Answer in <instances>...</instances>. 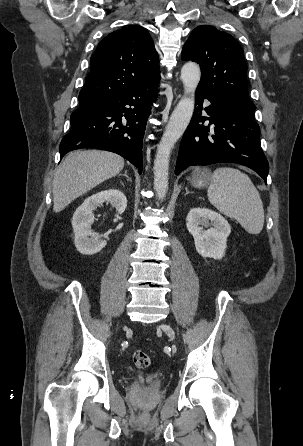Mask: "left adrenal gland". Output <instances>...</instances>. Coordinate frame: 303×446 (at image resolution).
Returning a JSON list of instances; mask_svg holds the SVG:
<instances>
[{
	"label": "left adrenal gland",
	"mask_w": 303,
	"mask_h": 446,
	"mask_svg": "<svg viewBox=\"0 0 303 446\" xmlns=\"http://www.w3.org/2000/svg\"><path fill=\"white\" fill-rule=\"evenodd\" d=\"M185 190H186L185 195H188L190 193L189 190L187 188H185Z\"/></svg>",
	"instance_id": "obj_1"
}]
</instances>
